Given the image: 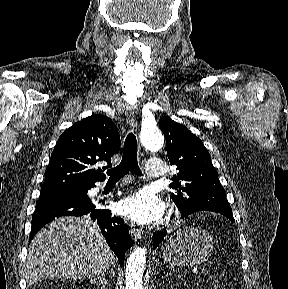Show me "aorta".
<instances>
[{
  "mask_svg": "<svg viewBox=\"0 0 288 289\" xmlns=\"http://www.w3.org/2000/svg\"><path fill=\"white\" fill-rule=\"evenodd\" d=\"M141 143L146 149L156 152L163 147L164 139L159 129L153 125L142 130ZM146 255L147 249L143 246L136 247L129 255L126 263L125 289H143Z\"/></svg>",
  "mask_w": 288,
  "mask_h": 289,
  "instance_id": "aorta-1",
  "label": "aorta"
}]
</instances>
